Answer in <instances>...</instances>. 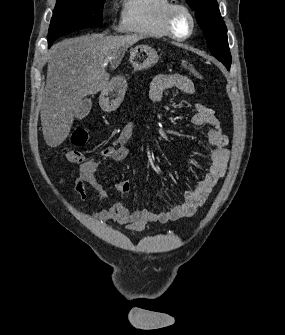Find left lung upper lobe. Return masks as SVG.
<instances>
[{
	"instance_id": "5c2ea615",
	"label": "left lung upper lobe",
	"mask_w": 285,
	"mask_h": 335,
	"mask_svg": "<svg viewBox=\"0 0 285 335\" xmlns=\"http://www.w3.org/2000/svg\"><path fill=\"white\" fill-rule=\"evenodd\" d=\"M195 11L207 45L212 53L227 69H230L231 55L227 40V28L222 20L217 0H187Z\"/></svg>"
}]
</instances>
